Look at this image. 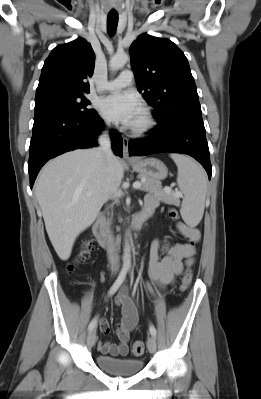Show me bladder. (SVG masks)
<instances>
[{"instance_id":"obj_1","label":"bladder","mask_w":261,"mask_h":399,"mask_svg":"<svg viewBox=\"0 0 261 399\" xmlns=\"http://www.w3.org/2000/svg\"><path fill=\"white\" fill-rule=\"evenodd\" d=\"M95 362L103 371L115 375H134L143 367L142 360L130 358H113L103 355H97Z\"/></svg>"}]
</instances>
